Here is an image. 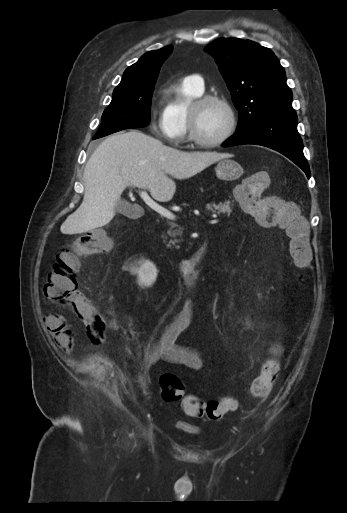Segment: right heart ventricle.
Instances as JSON below:
<instances>
[{
  "label": "right heart ventricle",
  "instance_id": "right-heart-ventricle-1",
  "mask_svg": "<svg viewBox=\"0 0 347 513\" xmlns=\"http://www.w3.org/2000/svg\"><path fill=\"white\" fill-rule=\"evenodd\" d=\"M198 90L189 81L183 79L166 89V103L163 115L167 118L175 141L180 142L188 135L187 112L190 102L201 96Z\"/></svg>",
  "mask_w": 347,
  "mask_h": 513
}]
</instances>
